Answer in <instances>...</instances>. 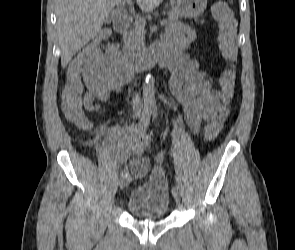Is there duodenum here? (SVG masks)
<instances>
[{
  "label": "duodenum",
  "mask_w": 295,
  "mask_h": 250,
  "mask_svg": "<svg viewBox=\"0 0 295 250\" xmlns=\"http://www.w3.org/2000/svg\"><path fill=\"white\" fill-rule=\"evenodd\" d=\"M112 25L116 32L124 33L130 26L129 14H118ZM118 52L119 56L115 58V77L121 83H125L150 66L159 65L162 68L168 66L169 60L161 46L152 47L137 55H127L123 52V49Z\"/></svg>",
  "instance_id": "duodenum-1"
}]
</instances>
